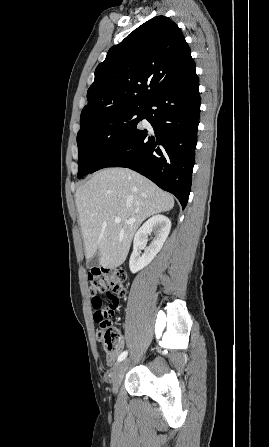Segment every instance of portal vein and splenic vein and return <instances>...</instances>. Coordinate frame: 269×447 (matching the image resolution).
Returning a JSON list of instances; mask_svg holds the SVG:
<instances>
[{
  "instance_id": "portal-vein-and-splenic-vein-1",
  "label": "portal vein and splenic vein",
  "mask_w": 269,
  "mask_h": 447,
  "mask_svg": "<svg viewBox=\"0 0 269 447\" xmlns=\"http://www.w3.org/2000/svg\"><path fill=\"white\" fill-rule=\"evenodd\" d=\"M116 224H120L121 218H115ZM135 220H127L126 224H134Z\"/></svg>"
}]
</instances>
